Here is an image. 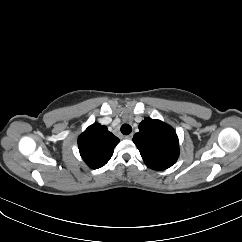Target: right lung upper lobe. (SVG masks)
<instances>
[{
  "mask_svg": "<svg viewBox=\"0 0 242 242\" xmlns=\"http://www.w3.org/2000/svg\"><path fill=\"white\" fill-rule=\"evenodd\" d=\"M119 138L108 131L106 126L94 123L78 138L80 155L92 169L104 166L112 157Z\"/></svg>",
  "mask_w": 242,
  "mask_h": 242,
  "instance_id": "1",
  "label": "right lung upper lobe"
}]
</instances>
